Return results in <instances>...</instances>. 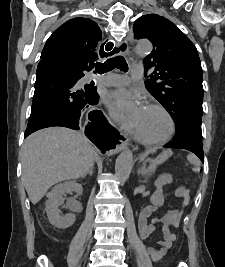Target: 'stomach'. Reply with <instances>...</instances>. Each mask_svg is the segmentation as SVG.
Here are the masks:
<instances>
[{
  "instance_id": "obj_1",
  "label": "stomach",
  "mask_w": 225,
  "mask_h": 267,
  "mask_svg": "<svg viewBox=\"0 0 225 267\" xmlns=\"http://www.w3.org/2000/svg\"><path fill=\"white\" fill-rule=\"evenodd\" d=\"M165 159V157H162V160H164Z\"/></svg>"
}]
</instances>
